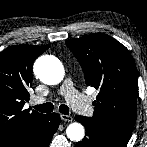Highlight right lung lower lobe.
Returning a JSON list of instances; mask_svg holds the SVG:
<instances>
[{"instance_id":"1","label":"right lung lower lobe","mask_w":147,"mask_h":147,"mask_svg":"<svg viewBox=\"0 0 147 147\" xmlns=\"http://www.w3.org/2000/svg\"><path fill=\"white\" fill-rule=\"evenodd\" d=\"M59 124V114H47L42 121L0 147H48Z\"/></svg>"}]
</instances>
